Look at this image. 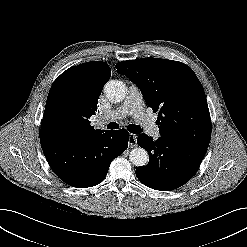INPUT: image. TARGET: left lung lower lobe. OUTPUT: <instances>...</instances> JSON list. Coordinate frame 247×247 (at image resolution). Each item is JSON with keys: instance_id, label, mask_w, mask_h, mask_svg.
<instances>
[{"instance_id": "left-lung-lower-lobe-1", "label": "left lung lower lobe", "mask_w": 247, "mask_h": 247, "mask_svg": "<svg viewBox=\"0 0 247 247\" xmlns=\"http://www.w3.org/2000/svg\"><path fill=\"white\" fill-rule=\"evenodd\" d=\"M149 152V162L136 169L137 178L146 186L160 191L181 187L197 172L208 147L161 136L156 141L146 134L137 138Z\"/></svg>"}]
</instances>
